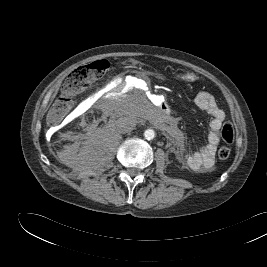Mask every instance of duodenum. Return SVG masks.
<instances>
[{
    "label": "duodenum",
    "instance_id": "410a0bca",
    "mask_svg": "<svg viewBox=\"0 0 267 267\" xmlns=\"http://www.w3.org/2000/svg\"><path fill=\"white\" fill-rule=\"evenodd\" d=\"M115 91L117 93H122L124 96L127 97H132V96H137L138 98L141 99H146L147 98V93L144 91H141L140 89H128V85L125 82H117L115 84ZM158 111H162L166 113L167 115L169 114V109L166 104H161L157 106Z\"/></svg>",
    "mask_w": 267,
    "mask_h": 267
}]
</instances>
